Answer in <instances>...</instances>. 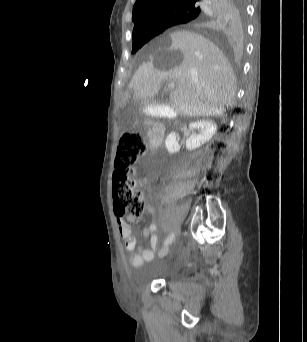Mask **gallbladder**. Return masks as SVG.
I'll list each match as a JSON object with an SVG mask.
<instances>
[{
    "mask_svg": "<svg viewBox=\"0 0 307 342\" xmlns=\"http://www.w3.org/2000/svg\"><path fill=\"white\" fill-rule=\"evenodd\" d=\"M134 101L141 104L143 110H153L150 112L151 118H172L174 108L170 103H158L151 95H135Z\"/></svg>",
    "mask_w": 307,
    "mask_h": 342,
    "instance_id": "gallbladder-1",
    "label": "gallbladder"
}]
</instances>
